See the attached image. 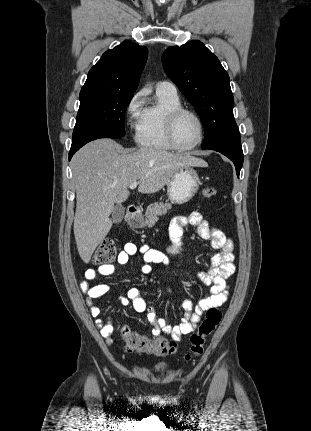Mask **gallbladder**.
I'll list each match as a JSON object with an SVG mask.
<instances>
[{
  "instance_id": "1",
  "label": "gallbladder",
  "mask_w": 311,
  "mask_h": 431,
  "mask_svg": "<svg viewBox=\"0 0 311 431\" xmlns=\"http://www.w3.org/2000/svg\"><path fill=\"white\" fill-rule=\"evenodd\" d=\"M125 214V208L123 206H115L112 214V219L114 223H120Z\"/></svg>"
}]
</instances>
